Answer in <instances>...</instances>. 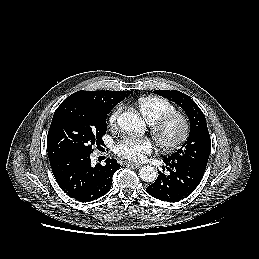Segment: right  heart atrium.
<instances>
[{
  "label": "right heart atrium",
  "instance_id": "d8ad5b80",
  "mask_svg": "<svg viewBox=\"0 0 259 259\" xmlns=\"http://www.w3.org/2000/svg\"><path fill=\"white\" fill-rule=\"evenodd\" d=\"M123 106L118 105L115 107L108 117V124L110 127H115L117 125L118 118L122 112Z\"/></svg>",
  "mask_w": 259,
  "mask_h": 259
}]
</instances>
